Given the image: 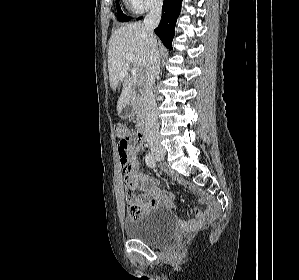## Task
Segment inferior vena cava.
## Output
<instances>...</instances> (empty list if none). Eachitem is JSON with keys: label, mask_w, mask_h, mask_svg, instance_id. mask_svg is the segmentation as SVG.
<instances>
[{"label": "inferior vena cava", "mask_w": 299, "mask_h": 280, "mask_svg": "<svg viewBox=\"0 0 299 280\" xmlns=\"http://www.w3.org/2000/svg\"><path fill=\"white\" fill-rule=\"evenodd\" d=\"M163 0H155L150 12L144 19V27L149 43V62L144 93L145 106V132L147 141L150 145H160L159 123L156 111V100L153 93L155 79L160 73V55L157 47L154 29L159 25L161 19V9Z\"/></svg>", "instance_id": "inferior-vena-cava-1"}]
</instances>
